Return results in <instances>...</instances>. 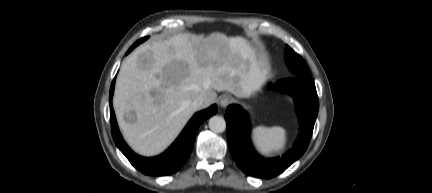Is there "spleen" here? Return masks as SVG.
<instances>
[{
    "mask_svg": "<svg viewBox=\"0 0 432 193\" xmlns=\"http://www.w3.org/2000/svg\"><path fill=\"white\" fill-rule=\"evenodd\" d=\"M252 140L257 150L264 156L279 153L286 146V131L282 127L259 126L252 131Z\"/></svg>",
    "mask_w": 432,
    "mask_h": 193,
    "instance_id": "spleen-1",
    "label": "spleen"
}]
</instances>
